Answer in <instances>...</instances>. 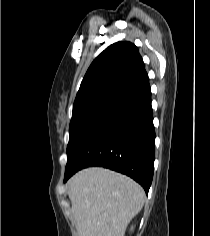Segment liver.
<instances>
[{
	"label": "liver",
	"instance_id": "1",
	"mask_svg": "<svg viewBox=\"0 0 210 236\" xmlns=\"http://www.w3.org/2000/svg\"><path fill=\"white\" fill-rule=\"evenodd\" d=\"M78 236H124L145 202L143 188L104 168H87L68 182Z\"/></svg>",
	"mask_w": 210,
	"mask_h": 236
}]
</instances>
